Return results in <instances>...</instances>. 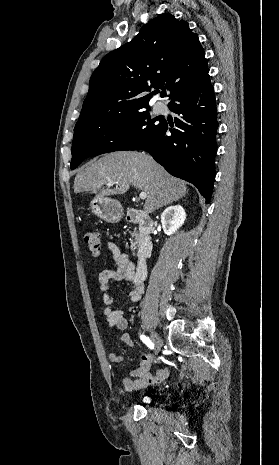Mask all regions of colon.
<instances>
[{
  "label": "colon",
  "mask_w": 279,
  "mask_h": 465,
  "mask_svg": "<svg viewBox=\"0 0 279 465\" xmlns=\"http://www.w3.org/2000/svg\"><path fill=\"white\" fill-rule=\"evenodd\" d=\"M85 244L91 254L97 256L101 252V237L98 232H89L84 238Z\"/></svg>",
  "instance_id": "obj_1"
}]
</instances>
